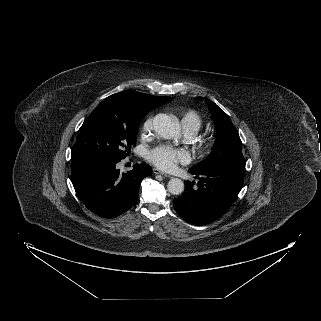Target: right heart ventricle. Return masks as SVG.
Wrapping results in <instances>:
<instances>
[{
	"mask_svg": "<svg viewBox=\"0 0 321 321\" xmlns=\"http://www.w3.org/2000/svg\"><path fill=\"white\" fill-rule=\"evenodd\" d=\"M181 123L185 131L196 134L203 125V119L196 110H187L182 114Z\"/></svg>",
	"mask_w": 321,
	"mask_h": 321,
	"instance_id": "right-heart-ventricle-1",
	"label": "right heart ventricle"
}]
</instances>
